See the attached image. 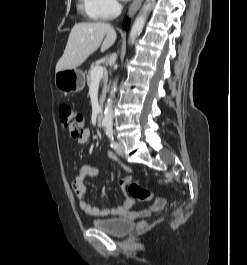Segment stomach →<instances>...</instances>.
<instances>
[{
    "mask_svg": "<svg viewBox=\"0 0 247 265\" xmlns=\"http://www.w3.org/2000/svg\"><path fill=\"white\" fill-rule=\"evenodd\" d=\"M55 86L63 93H76L85 86V74L80 69H67L56 72Z\"/></svg>",
    "mask_w": 247,
    "mask_h": 265,
    "instance_id": "1",
    "label": "stomach"
}]
</instances>
